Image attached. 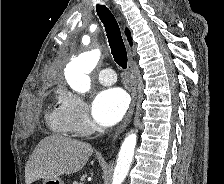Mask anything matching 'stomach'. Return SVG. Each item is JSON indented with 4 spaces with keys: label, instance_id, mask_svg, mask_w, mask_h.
I'll list each match as a JSON object with an SVG mask.
<instances>
[{
    "label": "stomach",
    "instance_id": "stomach-1",
    "mask_svg": "<svg viewBox=\"0 0 224 184\" xmlns=\"http://www.w3.org/2000/svg\"><path fill=\"white\" fill-rule=\"evenodd\" d=\"M42 184H64V181L61 178L44 179Z\"/></svg>",
    "mask_w": 224,
    "mask_h": 184
}]
</instances>
